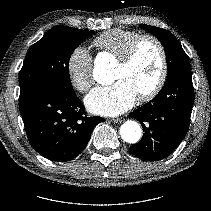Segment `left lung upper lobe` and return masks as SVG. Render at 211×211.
Masks as SVG:
<instances>
[{"label": "left lung upper lobe", "instance_id": "obj_1", "mask_svg": "<svg viewBox=\"0 0 211 211\" xmlns=\"http://www.w3.org/2000/svg\"><path fill=\"white\" fill-rule=\"evenodd\" d=\"M140 27L156 36L164 46L168 66L167 77L179 70L191 68L188 56L173 34L168 30L150 25L143 24Z\"/></svg>", "mask_w": 211, "mask_h": 211}]
</instances>
